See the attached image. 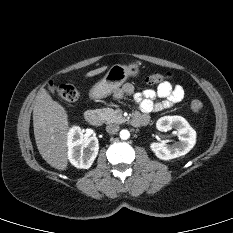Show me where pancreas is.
<instances>
[{
  "label": "pancreas",
  "instance_id": "pancreas-1",
  "mask_svg": "<svg viewBox=\"0 0 233 233\" xmlns=\"http://www.w3.org/2000/svg\"><path fill=\"white\" fill-rule=\"evenodd\" d=\"M97 115L107 123H122L124 118L122 112L113 110L112 108H103L95 110Z\"/></svg>",
  "mask_w": 233,
  "mask_h": 233
}]
</instances>
